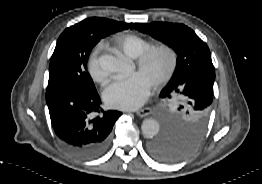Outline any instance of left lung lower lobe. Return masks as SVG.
<instances>
[{"instance_id":"0a47b994","label":"left lung lower lobe","mask_w":262,"mask_h":184,"mask_svg":"<svg viewBox=\"0 0 262 184\" xmlns=\"http://www.w3.org/2000/svg\"><path fill=\"white\" fill-rule=\"evenodd\" d=\"M148 150L158 160L172 161L188 154L192 149L186 144L172 141L164 135L151 142Z\"/></svg>"}]
</instances>
